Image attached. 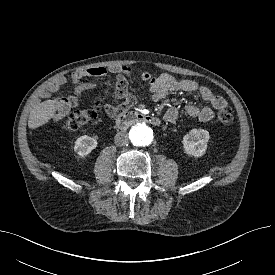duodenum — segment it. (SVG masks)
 Here are the masks:
<instances>
[{
  "label": "duodenum",
  "mask_w": 275,
  "mask_h": 275,
  "mask_svg": "<svg viewBox=\"0 0 275 275\" xmlns=\"http://www.w3.org/2000/svg\"><path fill=\"white\" fill-rule=\"evenodd\" d=\"M137 122H144L154 126H158L160 124L159 118L155 116L143 114L140 112H128V113L121 114L117 118L116 125L119 129H126L132 124Z\"/></svg>",
  "instance_id": "410a0bca"
}]
</instances>
